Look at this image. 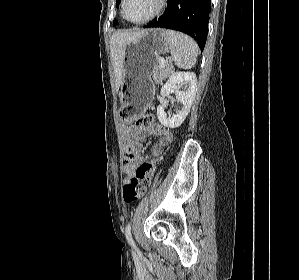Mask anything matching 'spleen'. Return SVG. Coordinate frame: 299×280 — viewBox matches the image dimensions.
Segmentation results:
<instances>
[{
	"label": "spleen",
	"mask_w": 299,
	"mask_h": 280,
	"mask_svg": "<svg viewBox=\"0 0 299 280\" xmlns=\"http://www.w3.org/2000/svg\"><path fill=\"white\" fill-rule=\"evenodd\" d=\"M166 36L171 49V57L175 65L182 69H191L197 61L198 46L195 41L173 30H166Z\"/></svg>",
	"instance_id": "spleen-1"
}]
</instances>
